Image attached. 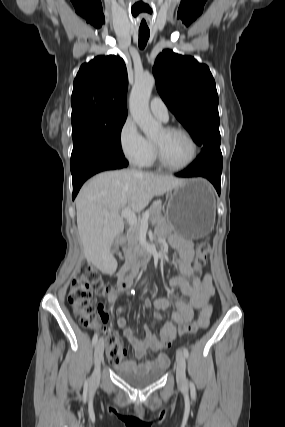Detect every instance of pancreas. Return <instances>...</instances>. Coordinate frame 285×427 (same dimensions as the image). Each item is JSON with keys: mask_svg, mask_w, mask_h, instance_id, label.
I'll use <instances>...</instances> for the list:
<instances>
[{"mask_svg": "<svg viewBox=\"0 0 285 427\" xmlns=\"http://www.w3.org/2000/svg\"><path fill=\"white\" fill-rule=\"evenodd\" d=\"M162 205L161 203L153 204L146 212H149V221L153 225L165 224V218L162 215ZM140 223L138 222L134 226H130L126 235V243L128 250L126 251L127 256H130L135 249L140 247L139 238H140Z\"/></svg>", "mask_w": 285, "mask_h": 427, "instance_id": "cf45deb5", "label": "pancreas"}]
</instances>
